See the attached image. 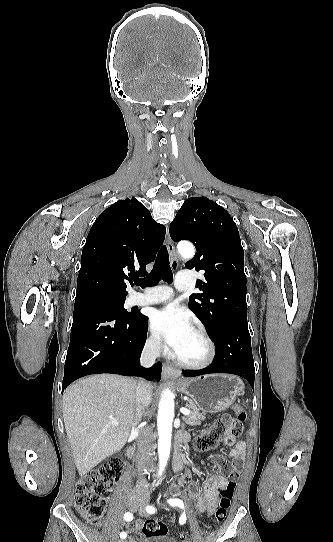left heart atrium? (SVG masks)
Listing matches in <instances>:
<instances>
[{
	"instance_id": "1",
	"label": "left heart atrium",
	"mask_w": 333,
	"mask_h": 542,
	"mask_svg": "<svg viewBox=\"0 0 333 542\" xmlns=\"http://www.w3.org/2000/svg\"><path fill=\"white\" fill-rule=\"evenodd\" d=\"M153 326L166 342L170 352L175 351L182 340L194 330L188 313L176 305H169L158 311L153 318Z\"/></svg>"
}]
</instances>
